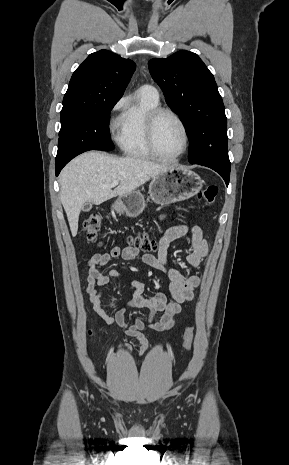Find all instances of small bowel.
<instances>
[{"mask_svg": "<svg viewBox=\"0 0 289 465\" xmlns=\"http://www.w3.org/2000/svg\"><path fill=\"white\" fill-rule=\"evenodd\" d=\"M171 215H163L162 220L170 218ZM186 234L191 236V250L188 254V263L198 269L201 267L208 255L209 247L204 238L201 228L197 225L178 224L168 228L159 241L158 256L142 254L135 247H113L109 252L94 254L88 261V276L86 292L93 305L94 311L107 323L117 324L124 330V333L135 338L145 352L149 348V342L144 331L148 328L158 332L170 330L177 315L181 312L182 306L194 298L195 289L200 284L198 274L183 275L177 269H167V249L170 243ZM122 258L126 261L140 260L153 269L164 272L168 279L167 292H158L152 296L145 295V284L137 280H131L133 287L131 300L122 307H119L114 315H109L101 304L102 288L110 283L112 279L120 277V273L115 269H110L106 273L101 268L107 265L112 259ZM168 295L171 301H168ZM129 307L147 308L150 313L147 320L134 319L131 324L125 321V313ZM158 312H162L161 319L157 322L154 318ZM129 348V346H124Z\"/></svg>", "mask_w": 289, "mask_h": 465, "instance_id": "c3829d8e", "label": "small bowel"}]
</instances>
